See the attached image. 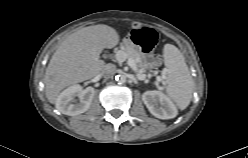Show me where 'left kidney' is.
<instances>
[{"label": "left kidney", "mask_w": 248, "mask_h": 158, "mask_svg": "<svg viewBox=\"0 0 248 158\" xmlns=\"http://www.w3.org/2000/svg\"><path fill=\"white\" fill-rule=\"evenodd\" d=\"M142 101L150 113L159 119H172L178 114L175 104L163 92L153 90L142 94Z\"/></svg>", "instance_id": "left-kidney-1"}]
</instances>
